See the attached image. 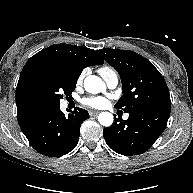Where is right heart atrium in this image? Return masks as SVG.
<instances>
[{
    "label": "right heart atrium",
    "mask_w": 193,
    "mask_h": 193,
    "mask_svg": "<svg viewBox=\"0 0 193 193\" xmlns=\"http://www.w3.org/2000/svg\"><path fill=\"white\" fill-rule=\"evenodd\" d=\"M84 75H85V72H82L81 75H80L79 78H78V82H81V81H82Z\"/></svg>",
    "instance_id": "obj_1"
}]
</instances>
